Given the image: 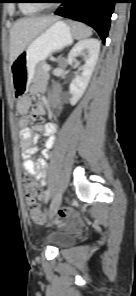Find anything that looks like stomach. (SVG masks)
<instances>
[{"label":"stomach","instance_id":"obj_1","mask_svg":"<svg viewBox=\"0 0 136 296\" xmlns=\"http://www.w3.org/2000/svg\"><path fill=\"white\" fill-rule=\"evenodd\" d=\"M72 29L64 21H56L38 35L12 62V76L16 84L30 83L41 62L56 48L72 43ZM30 85H16L14 98H23Z\"/></svg>","mask_w":136,"mask_h":296}]
</instances>
